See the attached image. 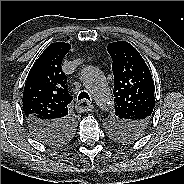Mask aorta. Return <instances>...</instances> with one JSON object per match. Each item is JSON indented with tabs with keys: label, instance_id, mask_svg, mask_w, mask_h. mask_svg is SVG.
Listing matches in <instances>:
<instances>
[{
	"label": "aorta",
	"instance_id": "1",
	"mask_svg": "<svg viewBox=\"0 0 184 184\" xmlns=\"http://www.w3.org/2000/svg\"><path fill=\"white\" fill-rule=\"evenodd\" d=\"M80 77L95 103L102 110H107L112 104V96L102 71L87 65L82 69Z\"/></svg>",
	"mask_w": 184,
	"mask_h": 184
}]
</instances>
